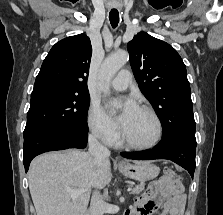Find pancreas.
Listing matches in <instances>:
<instances>
[{
    "label": "pancreas",
    "mask_w": 223,
    "mask_h": 215,
    "mask_svg": "<svg viewBox=\"0 0 223 215\" xmlns=\"http://www.w3.org/2000/svg\"><path fill=\"white\" fill-rule=\"evenodd\" d=\"M142 189H145V183L135 185L132 193H140V191H142Z\"/></svg>",
    "instance_id": "obj_1"
}]
</instances>
